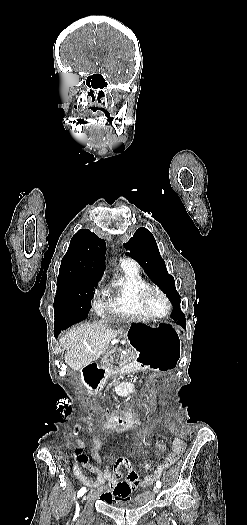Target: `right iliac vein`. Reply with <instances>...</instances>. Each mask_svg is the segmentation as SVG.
<instances>
[{"mask_svg": "<svg viewBox=\"0 0 247 525\" xmlns=\"http://www.w3.org/2000/svg\"><path fill=\"white\" fill-rule=\"evenodd\" d=\"M87 499V496L84 495L83 498H82V501L86 500Z\"/></svg>", "mask_w": 247, "mask_h": 525, "instance_id": "right-iliac-vein-1", "label": "right iliac vein"}]
</instances>
